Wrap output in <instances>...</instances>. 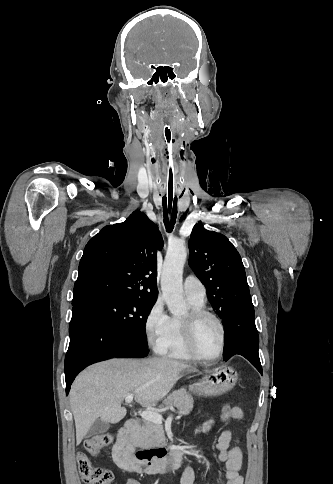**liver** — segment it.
<instances>
[{
	"instance_id": "1",
	"label": "liver",
	"mask_w": 333,
	"mask_h": 484,
	"mask_svg": "<svg viewBox=\"0 0 333 484\" xmlns=\"http://www.w3.org/2000/svg\"><path fill=\"white\" fill-rule=\"evenodd\" d=\"M197 368L167 358L112 359L91 365L71 386L69 400L79 445L100 419L117 423L127 413L122 402L129 394L144 407H154L173 388L181 373Z\"/></svg>"
}]
</instances>
